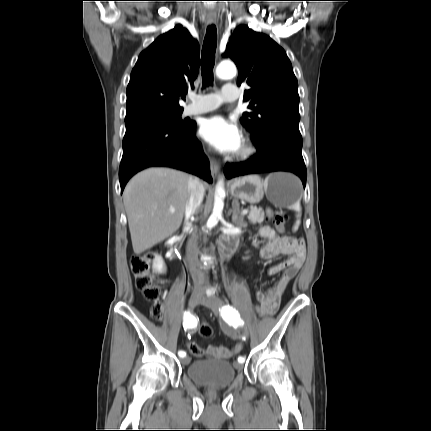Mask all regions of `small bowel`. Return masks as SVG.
<instances>
[{
	"label": "small bowel",
	"instance_id": "c3829d8e",
	"mask_svg": "<svg viewBox=\"0 0 431 431\" xmlns=\"http://www.w3.org/2000/svg\"><path fill=\"white\" fill-rule=\"evenodd\" d=\"M259 235L268 240L262 248L261 256L270 260L279 255H285L287 259L282 263L269 268L271 275L281 273L280 278L272 288L265 291H257L255 298L260 305L262 316L274 313L280 304L281 297L289 284L296 276L305 259V246L301 239L278 235L271 227L263 226ZM203 314V312H200ZM202 348V347H201ZM204 350L203 356L209 358L226 359L231 357V348L221 345H209Z\"/></svg>",
	"mask_w": 431,
	"mask_h": 431
}]
</instances>
